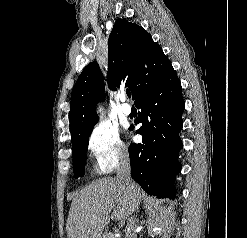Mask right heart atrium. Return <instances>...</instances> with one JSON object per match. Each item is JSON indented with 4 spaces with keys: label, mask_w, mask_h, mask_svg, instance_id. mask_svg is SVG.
I'll return each mask as SVG.
<instances>
[{
    "label": "right heart atrium",
    "mask_w": 247,
    "mask_h": 238,
    "mask_svg": "<svg viewBox=\"0 0 247 238\" xmlns=\"http://www.w3.org/2000/svg\"><path fill=\"white\" fill-rule=\"evenodd\" d=\"M88 149L98 168L104 172L115 170L128 158V149L118 130L111 124L102 122L91 130Z\"/></svg>",
    "instance_id": "1"
}]
</instances>
